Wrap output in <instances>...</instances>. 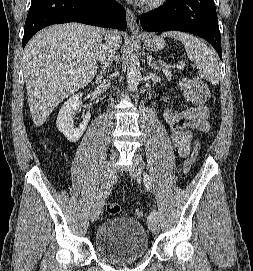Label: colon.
<instances>
[{
    "label": "colon",
    "mask_w": 253,
    "mask_h": 271,
    "mask_svg": "<svg viewBox=\"0 0 253 271\" xmlns=\"http://www.w3.org/2000/svg\"><path fill=\"white\" fill-rule=\"evenodd\" d=\"M200 92L205 98H210L211 94L206 83L200 79L194 80ZM199 155L198 145H196L185 163V171H188L196 162ZM107 213L110 215H117L121 212V206L118 203H108L106 207Z\"/></svg>",
    "instance_id": "5ec220e1"
}]
</instances>
